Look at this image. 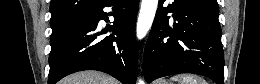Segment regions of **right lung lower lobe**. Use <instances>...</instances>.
<instances>
[{
  "mask_svg": "<svg viewBox=\"0 0 260 84\" xmlns=\"http://www.w3.org/2000/svg\"><path fill=\"white\" fill-rule=\"evenodd\" d=\"M104 7H111L114 22L112 35L101 38L98 22L108 21ZM139 0H103L97 8L70 27L51 43L48 84L82 70L108 73L123 84H135L137 46L135 23Z\"/></svg>",
  "mask_w": 260,
  "mask_h": 84,
  "instance_id": "98d812e1",
  "label": "right lung lower lobe"
}]
</instances>
